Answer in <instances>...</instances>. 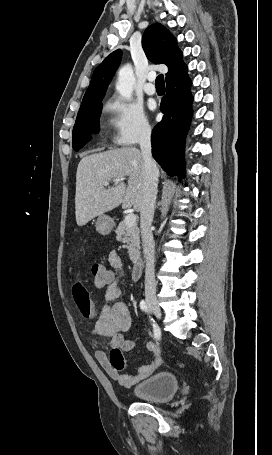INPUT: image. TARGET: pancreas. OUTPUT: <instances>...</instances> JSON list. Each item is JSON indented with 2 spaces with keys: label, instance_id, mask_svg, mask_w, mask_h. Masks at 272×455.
<instances>
[{
  "label": "pancreas",
  "instance_id": "pancreas-1",
  "mask_svg": "<svg viewBox=\"0 0 272 455\" xmlns=\"http://www.w3.org/2000/svg\"><path fill=\"white\" fill-rule=\"evenodd\" d=\"M115 233L117 241L126 243L130 260L133 263H137L140 258V231L138 226L135 224L134 226L128 227L122 221L119 223Z\"/></svg>",
  "mask_w": 272,
  "mask_h": 455
}]
</instances>
